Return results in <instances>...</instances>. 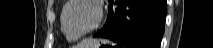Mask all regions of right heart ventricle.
<instances>
[{
    "label": "right heart ventricle",
    "instance_id": "e07e8e85",
    "mask_svg": "<svg viewBox=\"0 0 213 48\" xmlns=\"http://www.w3.org/2000/svg\"><path fill=\"white\" fill-rule=\"evenodd\" d=\"M63 31V30H62ZM63 33L65 34V36L67 37V39L69 40V41H75L77 38H74V37H71V36H69V35H67L64 31H63Z\"/></svg>",
    "mask_w": 213,
    "mask_h": 48
}]
</instances>
